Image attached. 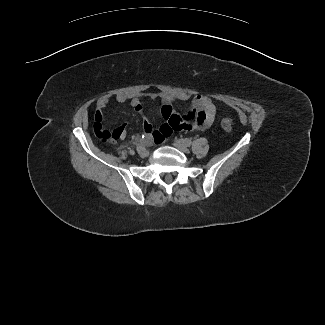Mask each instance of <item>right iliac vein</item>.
I'll return each mask as SVG.
<instances>
[{
    "mask_svg": "<svg viewBox=\"0 0 325 325\" xmlns=\"http://www.w3.org/2000/svg\"><path fill=\"white\" fill-rule=\"evenodd\" d=\"M141 157L149 156V152L144 148L143 150L138 152Z\"/></svg>",
    "mask_w": 325,
    "mask_h": 325,
    "instance_id": "obj_1",
    "label": "right iliac vein"
}]
</instances>
